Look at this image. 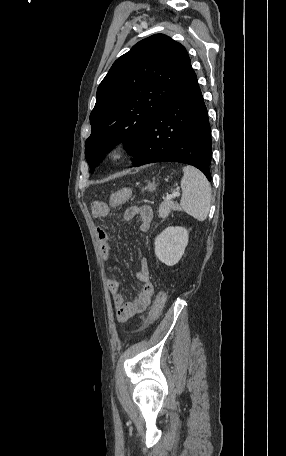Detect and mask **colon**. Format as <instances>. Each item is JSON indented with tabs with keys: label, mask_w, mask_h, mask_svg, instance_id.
<instances>
[{
	"label": "colon",
	"mask_w": 286,
	"mask_h": 456,
	"mask_svg": "<svg viewBox=\"0 0 286 456\" xmlns=\"http://www.w3.org/2000/svg\"><path fill=\"white\" fill-rule=\"evenodd\" d=\"M132 191L130 189H122L112 194L110 198L111 205H121L125 203L131 196ZM94 210L97 212H101L108 207V204L105 202H95L93 204ZM167 301V292L162 290L158 292L153 302V305L150 309L148 317L146 318L144 325H148L153 322L155 319L158 318L160 313L162 312L165 303Z\"/></svg>",
	"instance_id": "1"
}]
</instances>
